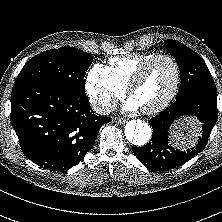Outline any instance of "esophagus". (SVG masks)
Returning a JSON list of instances; mask_svg holds the SVG:
<instances>
[{"label": "esophagus", "instance_id": "esophagus-1", "mask_svg": "<svg viewBox=\"0 0 222 222\" xmlns=\"http://www.w3.org/2000/svg\"><path fill=\"white\" fill-rule=\"evenodd\" d=\"M113 121L115 123H118V124H124L125 123V120L124 119H121V118H114Z\"/></svg>", "mask_w": 222, "mask_h": 222}]
</instances>
